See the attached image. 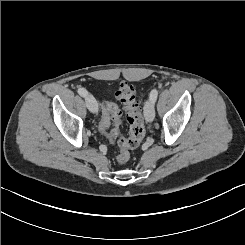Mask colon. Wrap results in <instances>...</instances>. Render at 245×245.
Listing matches in <instances>:
<instances>
[{"label":"colon","instance_id":"obj_1","mask_svg":"<svg viewBox=\"0 0 245 245\" xmlns=\"http://www.w3.org/2000/svg\"><path fill=\"white\" fill-rule=\"evenodd\" d=\"M116 98L123 105L128 122V136L123 137L119 132L121 125V112L116 104L105 102L102 105L100 130L111 142L119 147L117 162L126 163L129 160V150L137 148L145 137L144 118L141 106L136 100L135 87L127 82H122L115 93ZM112 128L109 130L110 126Z\"/></svg>","mask_w":245,"mask_h":245}]
</instances>
